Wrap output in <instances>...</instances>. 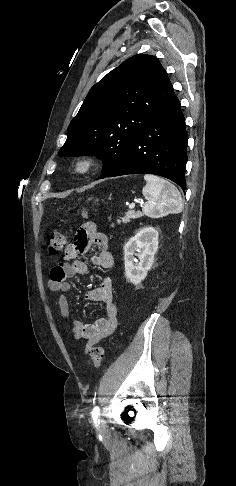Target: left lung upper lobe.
Segmentation results:
<instances>
[{
    "label": "left lung upper lobe",
    "mask_w": 236,
    "mask_h": 486,
    "mask_svg": "<svg viewBox=\"0 0 236 486\" xmlns=\"http://www.w3.org/2000/svg\"><path fill=\"white\" fill-rule=\"evenodd\" d=\"M173 94L157 58L137 54L127 59L90 89L59 155H96L104 162L101 178L106 176Z\"/></svg>",
    "instance_id": "obj_1"
}]
</instances>
